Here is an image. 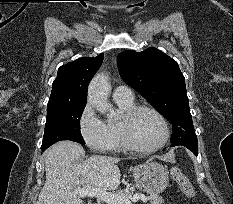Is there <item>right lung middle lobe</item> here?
Segmentation results:
<instances>
[{
    "instance_id": "right-lung-middle-lobe-1",
    "label": "right lung middle lobe",
    "mask_w": 233,
    "mask_h": 204,
    "mask_svg": "<svg viewBox=\"0 0 233 204\" xmlns=\"http://www.w3.org/2000/svg\"><path fill=\"white\" fill-rule=\"evenodd\" d=\"M85 102L47 105V121L41 149L61 140L85 144L80 132V118Z\"/></svg>"
}]
</instances>
